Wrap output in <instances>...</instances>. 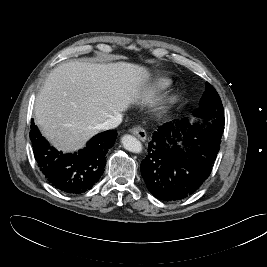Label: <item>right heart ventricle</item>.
I'll use <instances>...</instances> for the list:
<instances>
[{
	"instance_id": "1",
	"label": "right heart ventricle",
	"mask_w": 267,
	"mask_h": 267,
	"mask_svg": "<svg viewBox=\"0 0 267 267\" xmlns=\"http://www.w3.org/2000/svg\"><path fill=\"white\" fill-rule=\"evenodd\" d=\"M170 85V80L166 78H158L154 81L153 87L156 90H164Z\"/></svg>"
}]
</instances>
